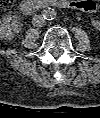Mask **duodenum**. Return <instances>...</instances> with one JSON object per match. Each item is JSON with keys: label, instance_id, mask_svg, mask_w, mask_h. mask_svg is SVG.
Wrapping results in <instances>:
<instances>
[{"label": "duodenum", "instance_id": "duodenum-1", "mask_svg": "<svg viewBox=\"0 0 100 118\" xmlns=\"http://www.w3.org/2000/svg\"><path fill=\"white\" fill-rule=\"evenodd\" d=\"M69 6L67 0H25L21 4V10L24 14H31L42 8Z\"/></svg>", "mask_w": 100, "mask_h": 118}]
</instances>
